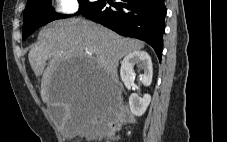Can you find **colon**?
Masks as SVG:
<instances>
[{
    "mask_svg": "<svg viewBox=\"0 0 227 142\" xmlns=\"http://www.w3.org/2000/svg\"><path fill=\"white\" fill-rule=\"evenodd\" d=\"M106 121L108 130L109 132H111L119 128L123 123L129 121V118L126 115L125 111L119 110L116 113L109 115Z\"/></svg>",
    "mask_w": 227,
    "mask_h": 142,
    "instance_id": "1",
    "label": "colon"
}]
</instances>
